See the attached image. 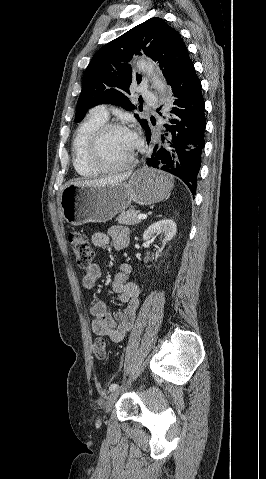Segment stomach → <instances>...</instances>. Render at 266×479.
Instances as JSON below:
<instances>
[{
  "label": "stomach",
  "instance_id": "stomach-1",
  "mask_svg": "<svg viewBox=\"0 0 266 479\" xmlns=\"http://www.w3.org/2000/svg\"><path fill=\"white\" fill-rule=\"evenodd\" d=\"M173 187L170 175L155 169L135 171L128 182L105 186H66L60 196L63 218L70 225L111 220L132 202L150 205L165 199Z\"/></svg>",
  "mask_w": 266,
  "mask_h": 479
}]
</instances>
